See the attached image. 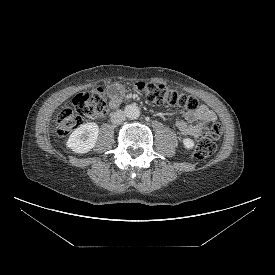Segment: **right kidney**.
<instances>
[{"mask_svg":"<svg viewBox=\"0 0 275 275\" xmlns=\"http://www.w3.org/2000/svg\"><path fill=\"white\" fill-rule=\"evenodd\" d=\"M98 133L99 127L96 123H85L72 132L66 146L75 153H87L95 146Z\"/></svg>","mask_w":275,"mask_h":275,"instance_id":"ca27d5eb","label":"right kidney"}]
</instances>
